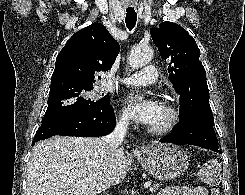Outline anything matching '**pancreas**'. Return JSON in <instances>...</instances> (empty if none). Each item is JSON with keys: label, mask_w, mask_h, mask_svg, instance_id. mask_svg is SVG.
<instances>
[{"label": "pancreas", "mask_w": 245, "mask_h": 195, "mask_svg": "<svg viewBox=\"0 0 245 195\" xmlns=\"http://www.w3.org/2000/svg\"><path fill=\"white\" fill-rule=\"evenodd\" d=\"M159 187H160V184L159 183H154L153 189H158Z\"/></svg>", "instance_id": "pancreas-1"}]
</instances>
